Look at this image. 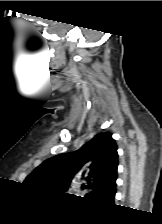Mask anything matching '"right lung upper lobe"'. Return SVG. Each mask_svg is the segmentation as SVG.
<instances>
[{"mask_svg":"<svg viewBox=\"0 0 162 224\" xmlns=\"http://www.w3.org/2000/svg\"><path fill=\"white\" fill-rule=\"evenodd\" d=\"M117 167V145L112 134L104 132L97 134L77 151L45 160L27 176L24 183L65 193L74 176H86L87 196L110 202L116 193Z\"/></svg>","mask_w":162,"mask_h":224,"instance_id":"right-lung-upper-lobe-1","label":"right lung upper lobe"}]
</instances>
